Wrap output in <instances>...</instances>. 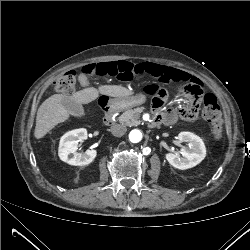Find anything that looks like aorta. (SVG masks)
<instances>
[{
  "mask_svg": "<svg viewBox=\"0 0 250 250\" xmlns=\"http://www.w3.org/2000/svg\"><path fill=\"white\" fill-rule=\"evenodd\" d=\"M143 134L140 130L134 129L129 133V140L132 143H138L142 140Z\"/></svg>",
  "mask_w": 250,
  "mask_h": 250,
  "instance_id": "aorta-1",
  "label": "aorta"
}]
</instances>
